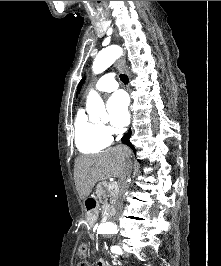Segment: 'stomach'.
<instances>
[{"label": "stomach", "instance_id": "stomach-1", "mask_svg": "<svg viewBox=\"0 0 221 266\" xmlns=\"http://www.w3.org/2000/svg\"><path fill=\"white\" fill-rule=\"evenodd\" d=\"M87 217L90 218V219H93L95 216H94V214L92 212L89 211L87 213Z\"/></svg>", "mask_w": 221, "mask_h": 266}]
</instances>
